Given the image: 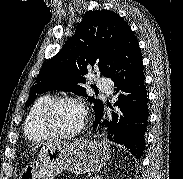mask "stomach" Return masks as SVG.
Listing matches in <instances>:
<instances>
[{"label":"stomach","mask_w":183,"mask_h":179,"mask_svg":"<svg viewBox=\"0 0 183 179\" xmlns=\"http://www.w3.org/2000/svg\"><path fill=\"white\" fill-rule=\"evenodd\" d=\"M111 156L105 142L61 140L43 146L33 162L23 168L19 179H53L63 171L85 174L98 171Z\"/></svg>","instance_id":"stomach-1"}]
</instances>
